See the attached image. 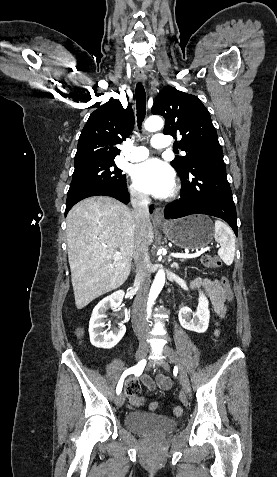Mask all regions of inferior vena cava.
<instances>
[{"label":"inferior vena cava","mask_w":277,"mask_h":477,"mask_svg":"<svg viewBox=\"0 0 277 477\" xmlns=\"http://www.w3.org/2000/svg\"><path fill=\"white\" fill-rule=\"evenodd\" d=\"M150 199L147 194L132 192L131 204L133 207L132 214L135 219L137 230L136 251L134 260L136 263L135 285L137 287V296L132 310V327L139 339H142L148 331L145 309L150 287V266L148 247L144 242L146 227L149 219Z\"/></svg>","instance_id":"inferior-vena-cava-1"}]
</instances>
